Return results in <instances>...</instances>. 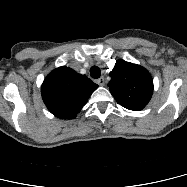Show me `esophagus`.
I'll list each match as a JSON object with an SVG mask.
<instances>
[{
  "label": "esophagus",
  "instance_id": "esophagus-1",
  "mask_svg": "<svg viewBox=\"0 0 187 187\" xmlns=\"http://www.w3.org/2000/svg\"><path fill=\"white\" fill-rule=\"evenodd\" d=\"M96 83L99 85V86H104L105 85V79L103 77L99 78L96 80Z\"/></svg>",
  "mask_w": 187,
  "mask_h": 187
}]
</instances>
